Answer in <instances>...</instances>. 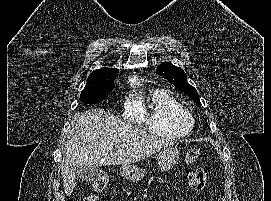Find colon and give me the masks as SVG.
I'll use <instances>...</instances> for the list:
<instances>
[{"instance_id":"obj_1","label":"colon","mask_w":271,"mask_h":201,"mask_svg":"<svg viewBox=\"0 0 271 201\" xmlns=\"http://www.w3.org/2000/svg\"><path fill=\"white\" fill-rule=\"evenodd\" d=\"M201 158V152L198 148H191L186 153V161L189 164L196 163ZM109 181L106 177L100 176L96 178L91 185V193H89L84 201H97L100 193H103L108 187Z\"/></svg>"}]
</instances>
